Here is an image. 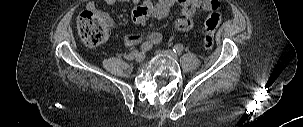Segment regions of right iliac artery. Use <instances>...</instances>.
<instances>
[{
    "mask_svg": "<svg viewBox=\"0 0 303 127\" xmlns=\"http://www.w3.org/2000/svg\"><path fill=\"white\" fill-rule=\"evenodd\" d=\"M140 48L143 52H147V51L151 50L152 44L146 42V43H143Z\"/></svg>",
    "mask_w": 303,
    "mask_h": 127,
    "instance_id": "82829eb1",
    "label": "right iliac artery"
}]
</instances>
